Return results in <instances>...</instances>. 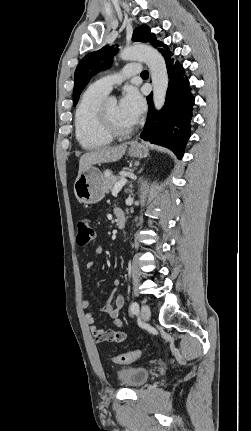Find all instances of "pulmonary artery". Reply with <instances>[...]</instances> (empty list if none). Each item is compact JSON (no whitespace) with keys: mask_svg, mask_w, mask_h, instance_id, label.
<instances>
[{"mask_svg":"<svg viewBox=\"0 0 251 431\" xmlns=\"http://www.w3.org/2000/svg\"><path fill=\"white\" fill-rule=\"evenodd\" d=\"M142 67L139 63L127 64L120 73L104 76L95 81L92 86L108 94L113 86L122 80L141 73Z\"/></svg>","mask_w":251,"mask_h":431,"instance_id":"pulmonary-artery-1","label":"pulmonary artery"}]
</instances>
